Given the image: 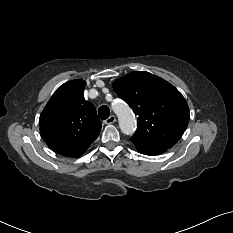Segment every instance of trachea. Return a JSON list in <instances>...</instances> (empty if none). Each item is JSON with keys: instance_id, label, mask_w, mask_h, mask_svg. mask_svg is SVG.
<instances>
[{"instance_id": "obj_1", "label": "trachea", "mask_w": 233, "mask_h": 233, "mask_svg": "<svg viewBox=\"0 0 233 233\" xmlns=\"http://www.w3.org/2000/svg\"><path fill=\"white\" fill-rule=\"evenodd\" d=\"M98 115L102 120H105L109 117L110 115V109L108 106L106 105H102L99 109H98Z\"/></svg>"}]
</instances>
